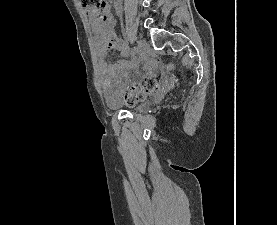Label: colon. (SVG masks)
<instances>
[{
	"mask_svg": "<svg viewBox=\"0 0 277 225\" xmlns=\"http://www.w3.org/2000/svg\"><path fill=\"white\" fill-rule=\"evenodd\" d=\"M81 4L96 11L100 16L107 9L105 0H80ZM161 85V79L154 76L146 77L140 84L132 85L123 91V100L127 104H134L145 97L156 93Z\"/></svg>",
	"mask_w": 277,
	"mask_h": 225,
	"instance_id": "5ec220e1",
	"label": "colon"
}]
</instances>
